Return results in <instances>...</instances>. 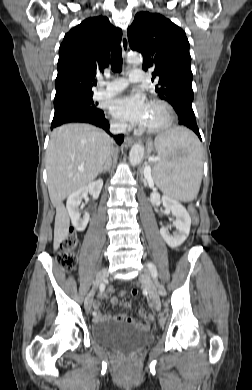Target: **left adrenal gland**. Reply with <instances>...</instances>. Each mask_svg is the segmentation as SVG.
<instances>
[{"instance_id": "left-adrenal-gland-1", "label": "left adrenal gland", "mask_w": 252, "mask_h": 390, "mask_svg": "<svg viewBox=\"0 0 252 390\" xmlns=\"http://www.w3.org/2000/svg\"><path fill=\"white\" fill-rule=\"evenodd\" d=\"M141 180L144 182V185L147 186V180L146 178H143V174L141 175Z\"/></svg>"}]
</instances>
